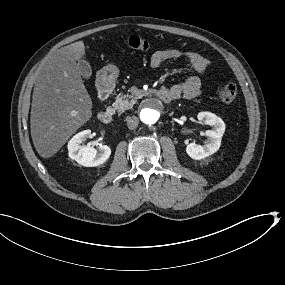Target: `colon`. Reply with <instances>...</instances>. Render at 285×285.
Segmentation results:
<instances>
[{
	"instance_id": "obj_1",
	"label": "colon",
	"mask_w": 285,
	"mask_h": 285,
	"mask_svg": "<svg viewBox=\"0 0 285 285\" xmlns=\"http://www.w3.org/2000/svg\"><path fill=\"white\" fill-rule=\"evenodd\" d=\"M123 45L129 49L138 51H147L150 48L149 42L139 36L132 35L124 39ZM238 94L237 86L234 83H226L220 87L218 97L222 103L228 104L233 102Z\"/></svg>"
}]
</instances>
